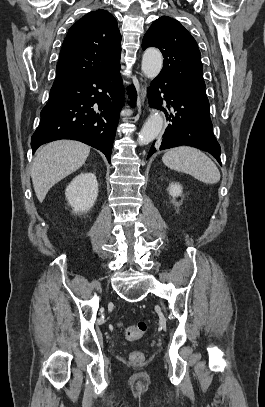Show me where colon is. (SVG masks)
<instances>
[{"label": "colon", "instance_id": "5ec220e1", "mask_svg": "<svg viewBox=\"0 0 265 407\" xmlns=\"http://www.w3.org/2000/svg\"><path fill=\"white\" fill-rule=\"evenodd\" d=\"M124 335L128 340L135 341L141 339L147 331V323L145 321H139L133 325H124L121 323ZM130 360L134 362H142L144 355L141 351H133L129 355Z\"/></svg>", "mask_w": 265, "mask_h": 407}]
</instances>
